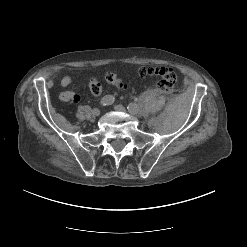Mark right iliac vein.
Masks as SVG:
<instances>
[{"instance_id": "obj_1", "label": "right iliac vein", "mask_w": 247, "mask_h": 247, "mask_svg": "<svg viewBox=\"0 0 247 247\" xmlns=\"http://www.w3.org/2000/svg\"><path fill=\"white\" fill-rule=\"evenodd\" d=\"M100 113H101V111H100V109H98V108H95V109H93V111H92V114H93L94 116H99Z\"/></svg>"}]
</instances>
